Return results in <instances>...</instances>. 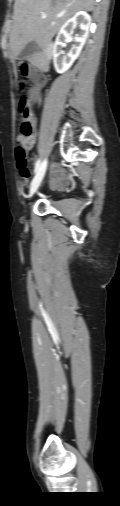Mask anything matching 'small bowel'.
Instances as JSON below:
<instances>
[{"instance_id": "small-bowel-1", "label": "small bowel", "mask_w": 120, "mask_h": 506, "mask_svg": "<svg viewBox=\"0 0 120 506\" xmlns=\"http://www.w3.org/2000/svg\"><path fill=\"white\" fill-rule=\"evenodd\" d=\"M30 77H31L32 81L34 82V85L30 89V92H29L30 100L37 102L40 99L41 91L43 90L44 86L46 85L47 76L43 73L36 71V70H32L30 72ZM32 119L34 121L33 116H32ZM22 180H23L24 184H26L28 181V177L22 178ZM52 180H53L54 185L61 186V187L69 184V180L66 177L65 172L59 168L54 169Z\"/></svg>"}]
</instances>
